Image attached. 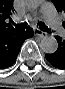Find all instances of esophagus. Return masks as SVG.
I'll return each mask as SVG.
<instances>
[{
	"mask_svg": "<svg viewBox=\"0 0 65 89\" xmlns=\"http://www.w3.org/2000/svg\"><path fill=\"white\" fill-rule=\"evenodd\" d=\"M34 35L39 36L41 38H44V37L47 36V34L45 32H42V31H40L38 29H34Z\"/></svg>",
	"mask_w": 65,
	"mask_h": 89,
	"instance_id": "obj_1",
	"label": "esophagus"
}]
</instances>
